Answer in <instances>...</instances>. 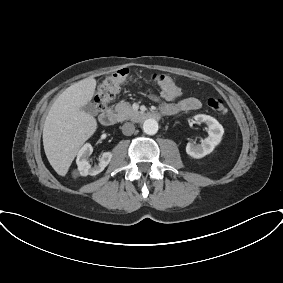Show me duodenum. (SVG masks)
Returning a JSON list of instances; mask_svg holds the SVG:
<instances>
[{
  "label": "duodenum",
  "mask_w": 283,
  "mask_h": 283,
  "mask_svg": "<svg viewBox=\"0 0 283 283\" xmlns=\"http://www.w3.org/2000/svg\"><path fill=\"white\" fill-rule=\"evenodd\" d=\"M160 117L159 113L155 112H140L137 114L136 120L138 122H144L147 120L158 119ZM99 122L104 126L112 125L115 120L116 116L115 113L111 110L103 111L99 114Z\"/></svg>",
  "instance_id": "1"
}]
</instances>
